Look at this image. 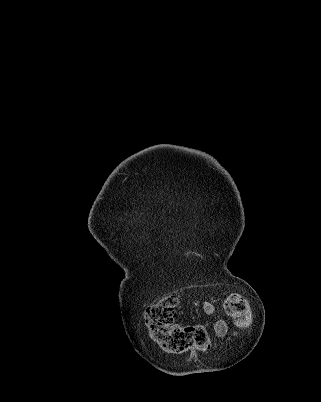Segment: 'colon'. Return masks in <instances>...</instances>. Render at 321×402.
Returning <instances> with one entry per match:
<instances>
[{
  "instance_id": "5ec220e1",
  "label": "colon",
  "mask_w": 321,
  "mask_h": 402,
  "mask_svg": "<svg viewBox=\"0 0 321 402\" xmlns=\"http://www.w3.org/2000/svg\"><path fill=\"white\" fill-rule=\"evenodd\" d=\"M178 303V297L170 294L147 307L144 320L151 340L167 353L180 354L191 350L212 349L214 340L206 327L200 324L175 323ZM223 306L226 314L234 319L239 329L249 326L251 312L243 296L232 293L225 298Z\"/></svg>"
}]
</instances>
